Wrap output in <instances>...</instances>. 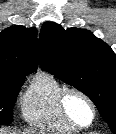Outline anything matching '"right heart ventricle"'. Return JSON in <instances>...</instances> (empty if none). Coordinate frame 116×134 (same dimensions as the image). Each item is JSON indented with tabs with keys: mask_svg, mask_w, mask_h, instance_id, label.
<instances>
[{
	"mask_svg": "<svg viewBox=\"0 0 116 134\" xmlns=\"http://www.w3.org/2000/svg\"><path fill=\"white\" fill-rule=\"evenodd\" d=\"M64 86L51 74L38 72L20 99L21 113L31 126L58 133H73L71 126L61 116L57 99Z\"/></svg>",
	"mask_w": 116,
	"mask_h": 134,
	"instance_id": "e07e8e85",
	"label": "right heart ventricle"
}]
</instances>
